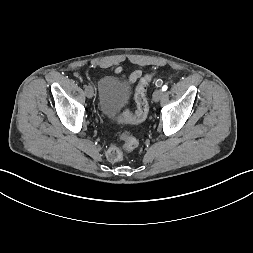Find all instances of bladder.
<instances>
[{
  "label": "bladder",
  "instance_id": "obj_1",
  "mask_svg": "<svg viewBox=\"0 0 253 253\" xmlns=\"http://www.w3.org/2000/svg\"><path fill=\"white\" fill-rule=\"evenodd\" d=\"M131 87L111 76L99 81L98 99L101 113L106 117L113 116L129 100Z\"/></svg>",
  "mask_w": 253,
  "mask_h": 253
}]
</instances>
